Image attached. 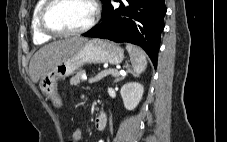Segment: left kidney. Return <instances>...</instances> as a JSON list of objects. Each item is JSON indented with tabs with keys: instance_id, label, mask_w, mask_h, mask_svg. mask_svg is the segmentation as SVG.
Segmentation results:
<instances>
[{
	"instance_id": "obj_1",
	"label": "left kidney",
	"mask_w": 227,
	"mask_h": 142,
	"mask_svg": "<svg viewBox=\"0 0 227 142\" xmlns=\"http://www.w3.org/2000/svg\"><path fill=\"white\" fill-rule=\"evenodd\" d=\"M144 87L138 82H129L122 86L120 94L127 110H134L142 99Z\"/></svg>"
}]
</instances>
